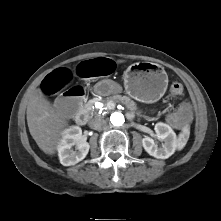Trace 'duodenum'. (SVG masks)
Listing matches in <instances>:
<instances>
[{
    "mask_svg": "<svg viewBox=\"0 0 221 221\" xmlns=\"http://www.w3.org/2000/svg\"><path fill=\"white\" fill-rule=\"evenodd\" d=\"M75 120L78 124L84 125V124H86V122L88 120V116L84 110H80L77 113Z\"/></svg>",
    "mask_w": 221,
    "mask_h": 221,
    "instance_id": "410a0bca",
    "label": "duodenum"
}]
</instances>
